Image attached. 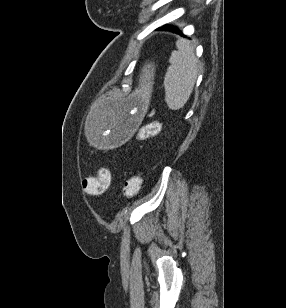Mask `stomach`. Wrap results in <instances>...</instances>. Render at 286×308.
<instances>
[{
  "instance_id": "stomach-1",
  "label": "stomach",
  "mask_w": 286,
  "mask_h": 308,
  "mask_svg": "<svg viewBox=\"0 0 286 308\" xmlns=\"http://www.w3.org/2000/svg\"><path fill=\"white\" fill-rule=\"evenodd\" d=\"M136 65L143 67L145 62L138 60ZM150 68L152 65H148ZM152 70L146 71V75L151 77ZM138 86L145 88L147 83L140 81ZM141 96L140 91H135L128 100H124L123 96H104L103 100H97L98 112H88L92 125L84 127L89 144H100L101 149H115L116 144H133L130 132L134 131L133 125H140L142 112H139V107L147 105L146 100H137Z\"/></svg>"
}]
</instances>
